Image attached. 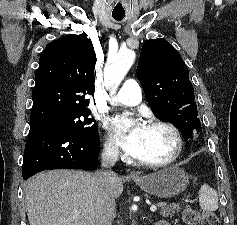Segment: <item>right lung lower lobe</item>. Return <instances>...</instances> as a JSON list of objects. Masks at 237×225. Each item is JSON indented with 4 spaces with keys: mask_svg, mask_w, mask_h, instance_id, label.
Segmentation results:
<instances>
[{
    "mask_svg": "<svg viewBox=\"0 0 237 225\" xmlns=\"http://www.w3.org/2000/svg\"><path fill=\"white\" fill-rule=\"evenodd\" d=\"M100 151L99 137L85 138L62 130L30 127L26 142L22 176L49 169L95 170Z\"/></svg>",
    "mask_w": 237,
    "mask_h": 225,
    "instance_id": "1",
    "label": "right lung lower lobe"
}]
</instances>
